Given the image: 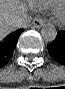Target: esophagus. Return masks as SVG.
Segmentation results:
<instances>
[{
	"instance_id": "34e87169",
	"label": "esophagus",
	"mask_w": 65,
	"mask_h": 89,
	"mask_svg": "<svg viewBox=\"0 0 65 89\" xmlns=\"http://www.w3.org/2000/svg\"><path fill=\"white\" fill-rule=\"evenodd\" d=\"M44 24V21L42 19H39V18H35L32 23H31V26L34 27V28H40L42 27Z\"/></svg>"
}]
</instances>
